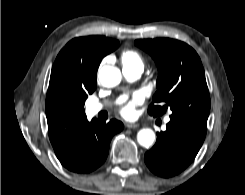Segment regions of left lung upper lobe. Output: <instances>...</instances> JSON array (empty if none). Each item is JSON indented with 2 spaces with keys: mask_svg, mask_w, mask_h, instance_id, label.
<instances>
[{
  "mask_svg": "<svg viewBox=\"0 0 245 195\" xmlns=\"http://www.w3.org/2000/svg\"><path fill=\"white\" fill-rule=\"evenodd\" d=\"M135 45L153 57L159 70L149 114L155 117L170 110V119L206 125L210 96L204 68L195 50L170 38L139 39Z\"/></svg>",
  "mask_w": 245,
  "mask_h": 195,
  "instance_id": "5c2ea615",
  "label": "left lung upper lobe"
}]
</instances>
